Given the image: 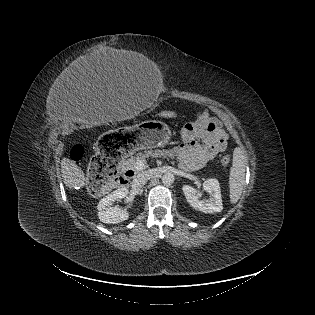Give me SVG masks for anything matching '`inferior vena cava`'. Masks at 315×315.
Masks as SVG:
<instances>
[{
    "label": "inferior vena cava",
    "instance_id": "1",
    "mask_svg": "<svg viewBox=\"0 0 315 315\" xmlns=\"http://www.w3.org/2000/svg\"><path fill=\"white\" fill-rule=\"evenodd\" d=\"M152 176L153 173L151 170L143 171L134 178L133 185L137 187H142L152 178Z\"/></svg>",
    "mask_w": 315,
    "mask_h": 315
}]
</instances>
